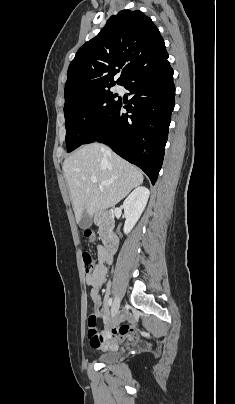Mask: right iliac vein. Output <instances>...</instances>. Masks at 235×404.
<instances>
[{
    "label": "right iliac vein",
    "mask_w": 235,
    "mask_h": 404,
    "mask_svg": "<svg viewBox=\"0 0 235 404\" xmlns=\"http://www.w3.org/2000/svg\"><path fill=\"white\" fill-rule=\"evenodd\" d=\"M119 307H120V300H119V298H115V300L112 304L113 315H116L118 313Z\"/></svg>",
    "instance_id": "1"
}]
</instances>
